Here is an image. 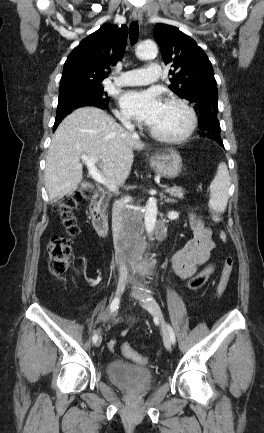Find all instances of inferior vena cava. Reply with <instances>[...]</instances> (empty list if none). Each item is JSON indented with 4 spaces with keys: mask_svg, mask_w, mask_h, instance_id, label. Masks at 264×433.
Instances as JSON below:
<instances>
[{
    "mask_svg": "<svg viewBox=\"0 0 264 433\" xmlns=\"http://www.w3.org/2000/svg\"><path fill=\"white\" fill-rule=\"evenodd\" d=\"M124 127H126L130 132L134 133V126L131 125L129 121H123ZM124 200H117L113 205V212H112V227H113V234H114V240L115 246L117 242H123L124 232L121 230V221H122V208L124 207ZM114 246L115 253L118 254V251L116 250V247ZM139 252V251H134ZM119 276L120 278L126 279L128 278V270L122 262L119 263Z\"/></svg>",
    "mask_w": 264,
    "mask_h": 433,
    "instance_id": "inferior-vena-cava-1",
    "label": "inferior vena cava"
}]
</instances>
